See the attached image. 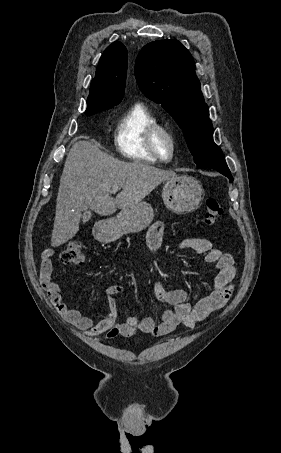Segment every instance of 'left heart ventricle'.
Masks as SVG:
<instances>
[{
	"label": "left heart ventricle",
	"instance_id": "b2bd125f",
	"mask_svg": "<svg viewBox=\"0 0 281 453\" xmlns=\"http://www.w3.org/2000/svg\"><path fill=\"white\" fill-rule=\"evenodd\" d=\"M160 147H161V151H162L163 155L165 157H168L169 156V144H168V142L166 140H163L161 142V146Z\"/></svg>",
	"mask_w": 281,
	"mask_h": 453
}]
</instances>
